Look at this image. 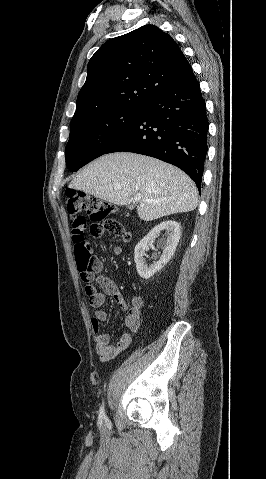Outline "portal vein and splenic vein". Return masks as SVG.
<instances>
[{
	"instance_id": "obj_1",
	"label": "portal vein and splenic vein",
	"mask_w": 266,
	"mask_h": 479,
	"mask_svg": "<svg viewBox=\"0 0 266 479\" xmlns=\"http://www.w3.org/2000/svg\"><path fill=\"white\" fill-rule=\"evenodd\" d=\"M134 200H135L136 202L141 201V196H140V195L134 196ZM147 201L150 202V200H147Z\"/></svg>"
}]
</instances>
